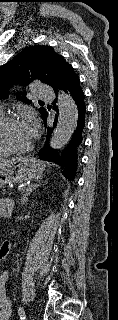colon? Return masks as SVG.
Segmentation results:
<instances>
[{
  "label": "colon",
  "instance_id": "colon-1",
  "mask_svg": "<svg viewBox=\"0 0 118 320\" xmlns=\"http://www.w3.org/2000/svg\"><path fill=\"white\" fill-rule=\"evenodd\" d=\"M5 247V250H6V246H4ZM5 257V253H1L0 252V259H3Z\"/></svg>",
  "mask_w": 118,
  "mask_h": 320
}]
</instances>
